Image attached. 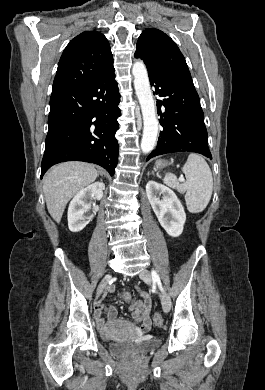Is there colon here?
<instances>
[{
	"instance_id": "obj_1",
	"label": "colon",
	"mask_w": 265,
	"mask_h": 390,
	"mask_svg": "<svg viewBox=\"0 0 265 390\" xmlns=\"http://www.w3.org/2000/svg\"><path fill=\"white\" fill-rule=\"evenodd\" d=\"M120 298L126 302H129V303L134 302V300L131 298L130 294H128V293L120 294ZM153 321H154L155 326H157V327H161L163 324V319H162L161 315L158 313L154 314Z\"/></svg>"
}]
</instances>
